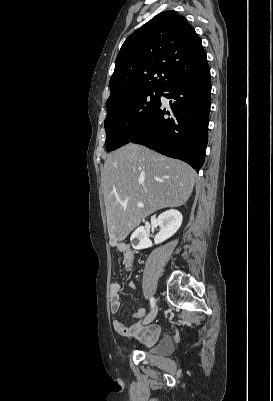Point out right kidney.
I'll return each mask as SVG.
<instances>
[{"label":"right kidney","instance_id":"right-kidney-1","mask_svg":"<svg viewBox=\"0 0 273 401\" xmlns=\"http://www.w3.org/2000/svg\"><path fill=\"white\" fill-rule=\"evenodd\" d=\"M182 219L181 213L176 211V209H170V211L161 213L157 219L160 231L155 235V245H159V243H163L166 239H170L178 231L179 227H181ZM130 241L133 249H136V251H139V249H148V247H152L153 245L150 239H148V233H146L144 227H138L133 235H131Z\"/></svg>","mask_w":273,"mask_h":401}]
</instances>
